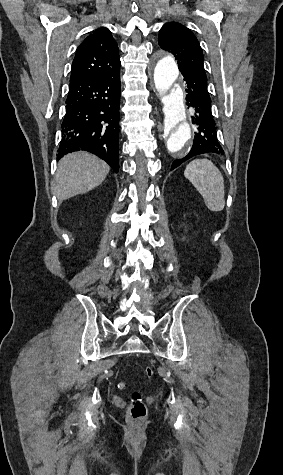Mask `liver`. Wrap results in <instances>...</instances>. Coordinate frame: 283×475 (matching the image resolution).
Returning a JSON list of instances; mask_svg holds the SVG:
<instances>
[{
	"label": "liver",
	"instance_id": "1",
	"mask_svg": "<svg viewBox=\"0 0 283 475\" xmlns=\"http://www.w3.org/2000/svg\"><path fill=\"white\" fill-rule=\"evenodd\" d=\"M110 166L88 152H74L60 160L56 172L58 200L86 194L104 182Z\"/></svg>",
	"mask_w": 283,
	"mask_h": 475
}]
</instances>
